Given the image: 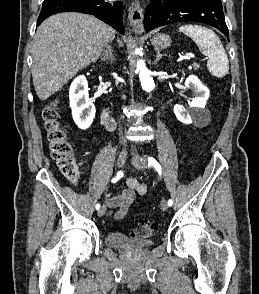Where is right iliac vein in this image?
Segmentation results:
<instances>
[{"label": "right iliac vein", "mask_w": 259, "mask_h": 294, "mask_svg": "<svg viewBox=\"0 0 259 294\" xmlns=\"http://www.w3.org/2000/svg\"><path fill=\"white\" fill-rule=\"evenodd\" d=\"M127 160V150L124 149L121 151V153L119 154L118 158H117V165L119 168L123 167L125 162ZM106 212V206L103 205L99 211H98V216L102 217Z\"/></svg>", "instance_id": "1"}]
</instances>
